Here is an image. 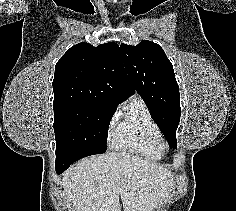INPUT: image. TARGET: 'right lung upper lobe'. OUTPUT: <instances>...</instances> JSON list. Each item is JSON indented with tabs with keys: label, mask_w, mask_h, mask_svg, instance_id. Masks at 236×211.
Wrapping results in <instances>:
<instances>
[{
	"label": "right lung upper lobe",
	"mask_w": 236,
	"mask_h": 211,
	"mask_svg": "<svg viewBox=\"0 0 236 211\" xmlns=\"http://www.w3.org/2000/svg\"><path fill=\"white\" fill-rule=\"evenodd\" d=\"M53 91V108L68 104L117 107L134 92L114 42L71 47L55 66Z\"/></svg>",
	"instance_id": "obj_1"
}]
</instances>
